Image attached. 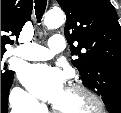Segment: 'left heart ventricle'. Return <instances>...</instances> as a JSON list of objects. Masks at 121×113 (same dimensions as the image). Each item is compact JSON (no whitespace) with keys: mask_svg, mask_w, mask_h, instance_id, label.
<instances>
[{"mask_svg":"<svg viewBox=\"0 0 121 113\" xmlns=\"http://www.w3.org/2000/svg\"><path fill=\"white\" fill-rule=\"evenodd\" d=\"M54 106L63 112L95 110L94 104L82 94L64 88L60 98Z\"/></svg>","mask_w":121,"mask_h":113,"instance_id":"left-heart-ventricle-1","label":"left heart ventricle"}]
</instances>
